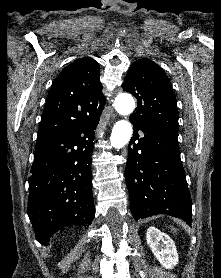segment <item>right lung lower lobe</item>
Masks as SVG:
<instances>
[{
  "instance_id": "1",
  "label": "right lung lower lobe",
  "mask_w": 221,
  "mask_h": 278,
  "mask_svg": "<svg viewBox=\"0 0 221 278\" xmlns=\"http://www.w3.org/2000/svg\"><path fill=\"white\" fill-rule=\"evenodd\" d=\"M98 122L87 119L35 148L28 216L37 241L45 246L61 228L86 227L95 217L91 156Z\"/></svg>"
}]
</instances>
